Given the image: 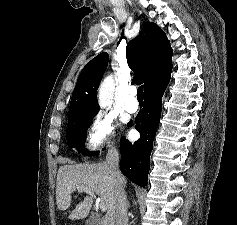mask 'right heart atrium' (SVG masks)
I'll list each match as a JSON object with an SVG mask.
<instances>
[{
	"instance_id": "right-heart-atrium-1",
	"label": "right heart atrium",
	"mask_w": 237,
	"mask_h": 225,
	"mask_svg": "<svg viewBox=\"0 0 237 225\" xmlns=\"http://www.w3.org/2000/svg\"><path fill=\"white\" fill-rule=\"evenodd\" d=\"M115 137V123L110 118L97 114L90 120L85 129L84 147L89 152L102 147H113Z\"/></svg>"
}]
</instances>
